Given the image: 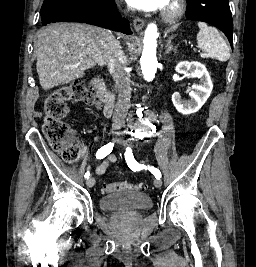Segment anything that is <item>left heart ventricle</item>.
Instances as JSON below:
<instances>
[{"label": "left heart ventricle", "instance_id": "b2bd125f", "mask_svg": "<svg viewBox=\"0 0 256 267\" xmlns=\"http://www.w3.org/2000/svg\"><path fill=\"white\" fill-rule=\"evenodd\" d=\"M169 14H170V9L165 13V18H168Z\"/></svg>", "mask_w": 256, "mask_h": 267}]
</instances>
